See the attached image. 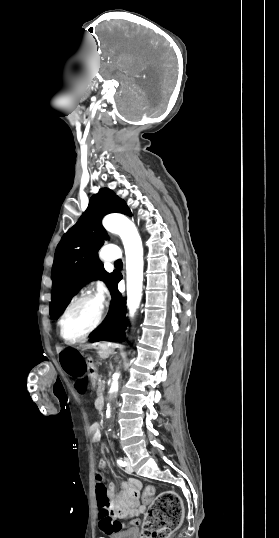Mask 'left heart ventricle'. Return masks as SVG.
I'll list each match as a JSON object with an SVG mask.
<instances>
[{
  "mask_svg": "<svg viewBox=\"0 0 279 538\" xmlns=\"http://www.w3.org/2000/svg\"><path fill=\"white\" fill-rule=\"evenodd\" d=\"M98 311V303L85 300L76 305L67 316L64 323V336L74 340L83 334L93 323Z\"/></svg>",
  "mask_w": 279,
  "mask_h": 538,
  "instance_id": "b2bd125f",
  "label": "left heart ventricle"
}]
</instances>
